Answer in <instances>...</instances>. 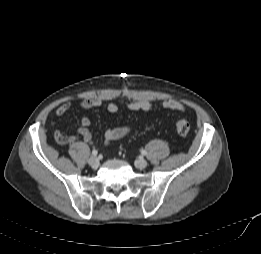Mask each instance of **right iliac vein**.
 Here are the masks:
<instances>
[{
  "instance_id": "63e3f726",
  "label": "right iliac vein",
  "mask_w": 261,
  "mask_h": 254,
  "mask_svg": "<svg viewBox=\"0 0 261 254\" xmlns=\"http://www.w3.org/2000/svg\"><path fill=\"white\" fill-rule=\"evenodd\" d=\"M88 164L96 169L98 166H99V159L95 156H91L89 159H88Z\"/></svg>"
}]
</instances>
